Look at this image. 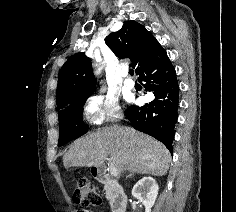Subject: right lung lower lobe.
<instances>
[{
    "label": "right lung lower lobe",
    "instance_id": "98d812e1",
    "mask_svg": "<svg viewBox=\"0 0 236 212\" xmlns=\"http://www.w3.org/2000/svg\"><path fill=\"white\" fill-rule=\"evenodd\" d=\"M139 81L155 99L144 106L132 105L125 115L136 130L153 136L172 153L174 126L178 117L179 86L175 68L160 45L139 72Z\"/></svg>",
    "mask_w": 236,
    "mask_h": 212
}]
</instances>
